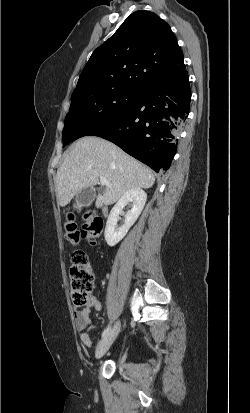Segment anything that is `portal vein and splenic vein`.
<instances>
[{"label": "portal vein and splenic vein", "instance_id": "obj_1", "mask_svg": "<svg viewBox=\"0 0 250 413\" xmlns=\"http://www.w3.org/2000/svg\"><path fill=\"white\" fill-rule=\"evenodd\" d=\"M100 182L102 185L112 186V184L105 177H100Z\"/></svg>", "mask_w": 250, "mask_h": 413}]
</instances>
